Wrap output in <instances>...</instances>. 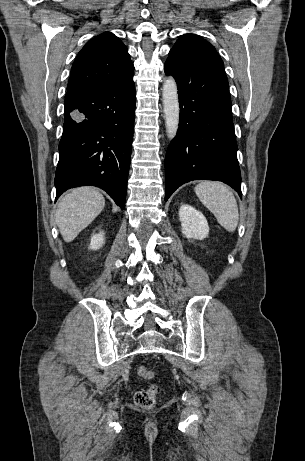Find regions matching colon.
Returning a JSON list of instances; mask_svg holds the SVG:
<instances>
[{
    "mask_svg": "<svg viewBox=\"0 0 305 461\" xmlns=\"http://www.w3.org/2000/svg\"><path fill=\"white\" fill-rule=\"evenodd\" d=\"M137 375L140 378L149 379L154 376V373L147 367L140 366L137 368ZM159 393L160 388L157 385H151L144 390H140L134 396L135 404L142 409H151L155 406Z\"/></svg>",
    "mask_w": 305,
    "mask_h": 461,
    "instance_id": "obj_1",
    "label": "colon"
}]
</instances>
